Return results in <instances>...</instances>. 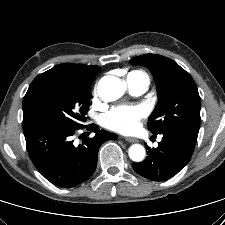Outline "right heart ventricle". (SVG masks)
<instances>
[{"instance_id": "e07e8e85", "label": "right heart ventricle", "mask_w": 225, "mask_h": 225, "mask_svg": "<svg viewBox=\"0 0 225 225\" xmlns=\"http://www.w3.org/2000/svg\"><path fill=\"white\" fill-rule=\"evenodd\" d=\"M132 73H137V74L143 75V76H145V77L147 78V76H146L143 72H140V71H134V72H132ZM130 74H131V73H130Z\"/></svg>"}]
</instances>
